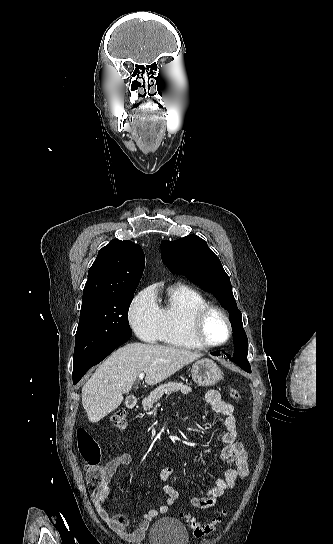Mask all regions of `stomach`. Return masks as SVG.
I'll list each match as a JSON object with an SVG mask.
<instances>
[{
    "instance_id": "stomach-1",
    "label": "stomach",
    "mask_w": 333,
    "mask_h": 544,
    "mask_svg": "<svg viewBox=\"0 0 333 544\" xmlns=\"http://www.w3.org/2000/svg\"><path fill=\"white\" fill-rule=\"evenodd\" d=\"M192 378L200 386H213L222 378L219 366L210 359L197 361L192 367Z\"/></svg>"
}]
</instances>
